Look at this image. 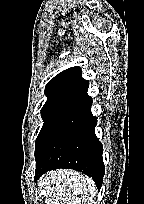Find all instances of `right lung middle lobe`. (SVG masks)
Wrapping results in <instances>:
<instances>
[{"mask_svg": "<svg viewBox=\"0 0 144 204\" xmlns=\"http://www.w3.org/2000/svg\"><path fill=\"white\" fill-rule=\"evenodd\" d=\"M74 101V98L69 97H60L46 101L41 110L44 124L36 139L35 157L40 154L45 144L53 134L60 118Z\"/></svg>", "mask_w": 144, "mask_h": 204, "instance_id": "obj_1", "label": "right lung middle lobe"}]
</instances>
